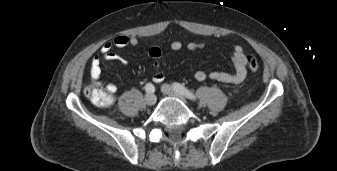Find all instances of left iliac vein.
Here are the masks:
<instances>
[{
    "label": "left iliac vein",
    "instance_id": "left-iliac-vein-1",
    "mask_svg": "<svg viewBox=\"0 0 337 171\" xmlns=\"http://www.w3.org/2000/svg\"><path fill=\"white\" fill-rule=\"evenodd\" d=\"M161 90L164 94L180 99L182 102L187 103V100L177 91H175L170 85L163 84Z\"/></svg>",
    "mask_w": 337,
    "mask_h": 171
}]
</instances>
